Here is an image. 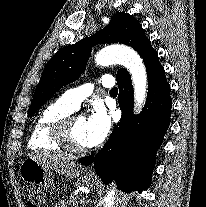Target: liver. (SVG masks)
I'll return each instance as SVG.
<instances>
[{
	"label": "liver",
	"mask_w": 206,
	"mask_h": 207,
	"mask_svg": "<svg viewBox=\"0 0 206 207\" xmlns=\"http://www.w3.org/2000/svg\"><path fill=\"white\" fill-rule=\"evenodd\" d=\"M30 157L43 166L69 178H76L84 171L80 164L61 155L40 153L36 155H30Z\"/></svg>",
	"instance_id": "6515ba94"
}]
</instances>
